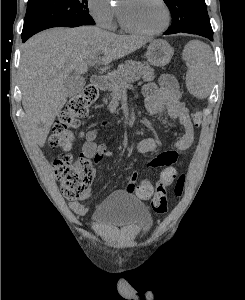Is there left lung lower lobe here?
<instances>
[{
  "label": "left lung lower lobe",
  "instance_id": "0a47b994",
  "mask_svg": "<svg viewBox=\"0 0 245 300\" xmlns=\"http://www.w3.org/2000/svg\"><path fill=\"white\" fill-rule=\"evenodd\" d=\"M179 32L190 33V34H197V35L206 37V38L210 39L211 41H213V31H211V32H205V31H194V30H188V29H186V30L177 31L175 33H179ZM164 34H174V33L165 32Z\"/></svg>",
  "mask_w": 245,
  "mask_h": 300
}]
</instances>
